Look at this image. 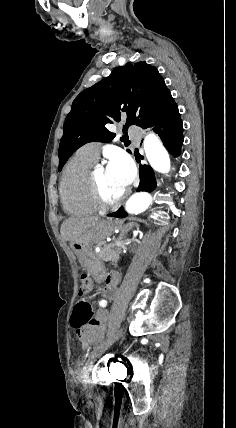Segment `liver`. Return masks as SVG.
Wrapping results in <instances>:
<instances>
[{"instance_id":"obj_1","label":"liver","mask_w":236,"mask_h":428,"mask_svg":"<svg viewBox=\"0 0 236 428\" xmlns=\"http://www.w3.org/2000/svg\"><path fill=\"white\" fill-rule=\"evenodd\" d=\"M98 218H68L61 224L60 234L64 242H75L83 232H87L92 226H96Z\"/></svg>"}]
</instances>
